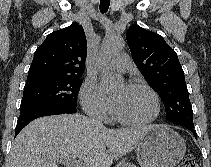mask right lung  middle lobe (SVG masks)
Listing matches in <instances>:
<instances>
[{
	"instance_id": "1",
	"label": "right lung middle lobe",
	"mask_w": 211,
	"mask_h": 167,
	"mask_svg": "<svg viewBox=\"0 0 211 167\" xmlns=\"http://www.w3.org/2000/svg\"><path fill=\"white\" fill-rule=\"evenodd\" d=\"M81 76L45 77L26 81L21 111L45 106L76 107Z\"/></svg>"
}]
</instances>
